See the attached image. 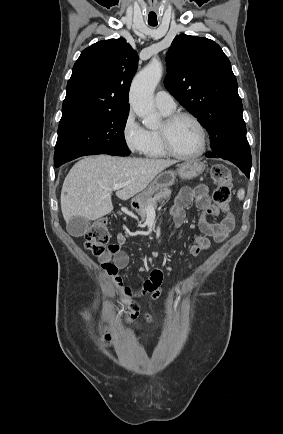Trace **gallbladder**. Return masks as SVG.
Returning <instances> with one entry per match:
<instances>
[{"label":"gallbladder","mask_w":283,"mask_h":434,"mask_svg":"<svg viewBox=\"0 0 283 434\" xmlns=\"http://www.w3.org/2000/svg\"><path fill=\"white\" fill-rule=\"evenodd\" d=\"M90 226V221L82 217H74L67 224L68 232L74 237L83 236Z\"/></svg>","instance_id":"gallbladder-1"}]
</instances>
